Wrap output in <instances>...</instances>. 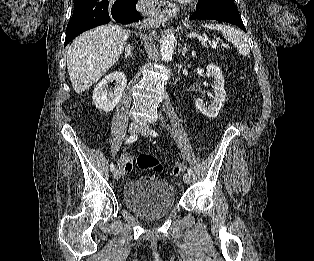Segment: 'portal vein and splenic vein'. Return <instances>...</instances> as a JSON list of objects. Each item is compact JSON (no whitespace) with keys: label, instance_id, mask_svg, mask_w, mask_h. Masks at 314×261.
Here are the masks:
<instances>
[{"label":"portal vein and splenic vein","instance_id":"obj_1","mask_svg":"<svg viewBox=\"0 0 314 261\" xmlns=\"http://www.w3.org/2000/svg\"><path fill=\"white\" fill-rule=\"evenodd\" d=\"M211 46H212L213 48H216V47H217V42L213 41L212 44H211ZM225 46H227V45L225 44Z\"/></svg>","mask_w":314,"mask_h":261}]
</instances>
